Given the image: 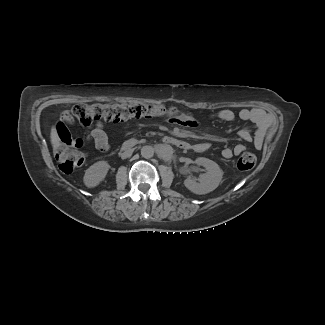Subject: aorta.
Listing matches in <instances>:
<instances>
[{"label": "aorta", "mask_w": 325, "mask_h": 325, "mask_svg": "<svg viewBox=\"0 0 325 325\" xmlns=\"http://www.w3.org/2000/svg\"><path fill=\"white\" fill-rule=\"evenodd\" d=\"M154 152L155 150L152 146L146 145L141 148V155L146 159L152 158L154 156Z\"/></svg>", "instance_id": "aorta-1"}]
</instances>
